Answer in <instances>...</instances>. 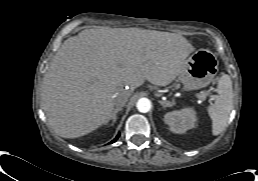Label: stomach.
<instances>
[{
	"label": "stomach",
	"mask_w": 258,
	"mask_h": 181,
	"mask_svg": "<svg viewBox=\"0 0 258 181\" xmlns=\"http://www.w3.org/2000/svg\"><path fill=\"white\" fill-rule=\"evenodd\" d=\"M217 72L216 56L207 49H199L185 60L179 80L186 90L200 89L209 85Z\"/></svg>",
	"instance_id": "stomach-1"
}]
</instances>
